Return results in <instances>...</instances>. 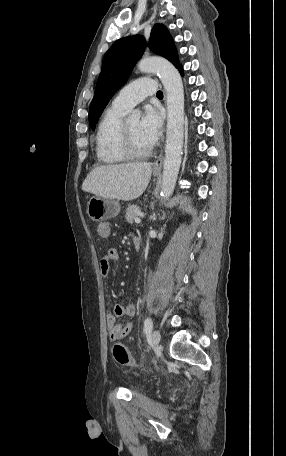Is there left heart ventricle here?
<instances>
[{"label": "left heart ventricle", "mask_w": 286, "mask_h": 456, "mask_svg": "<svg viewBox=\"0 0 286 456\" xmlns=\"http://www.w3.org/2000/svg\"><path fill=\"white\" fill-rule=\"evenodd\" d=\"M139 124V121L126 123L134 150L142 152L148 149L152 143L141 133Z\"/></svg>", "instance_id": "left-heart-ventricle-1"}]
</instances>
